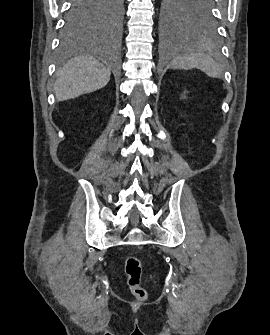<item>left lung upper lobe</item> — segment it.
I'll return each mask as SVG.
<instances>
[{"label":"left lung upper lobe","mask_w":270,"mask_h":335,"mask_svg":"<svg viewBox=\"0 0 270 335\" xmlns=\"http://www.w3.org/2000/svg\"><path fill=\"white\" fill-rule=\"evenodd\" d=\"M212 0H161L160 16L164 31L193 30L212 33L216 22Z\"/></svg>","instance_id":"left-lung-upper-lobe-1"}]
</instances>
